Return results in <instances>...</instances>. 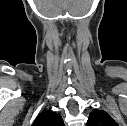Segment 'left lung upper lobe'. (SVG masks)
I'll return each mask as SVG.
<instances>
[{
    "mask_svg": "<svg viewBox=\"0 0 127 126\" xmlns=\"http://www.w3.org/2000/svg\"><path fill=\"white\" fill-rule=\"evenodd\" d=\"M86 126H118V124L104 110L94 109L89 114Z\"/></svg>",
    "mask_w": 127,
    "mask_h": 126,
    "instance_id": "5c2ea615",
    "label": "left lung upper lobe"
}]
</instances>
